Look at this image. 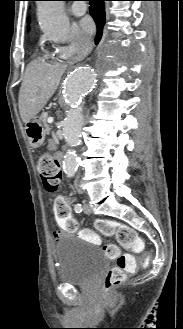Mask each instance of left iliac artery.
Wrapping results in <instances>:
<instances>
[{
  "mask_svg": "<svg viewBox=\"0 0 183 329\" xmlns=\"http://www.w3.org/2000/svg\"><path fill=\"white\" fill-rule=\"evenodd\" d=\"M74 210L76 213H80L82 211V205L80 203H77L74 207Z\"/></svg>",
  "mask_w": 183,
  "mask_h": 329,
  "instance_id": "1",
  "label": "left iliac artery"
}]
</instances>
